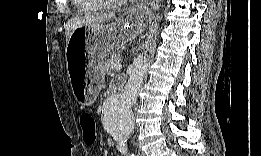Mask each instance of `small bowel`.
<instances>
[{
	"instance_id": "small-bowel-1",
	"label": "small bowel",
	"mask_w": 261,
	"mask_h": 156,
	"mask_svg": "<svg viewBox=\"0 0 261 156\" xmlns=\"http://www.w3.org/2000/svg\"><path fill=\"white\" fill-rule=\"evenodd\" d=\"M123 79L122 78H118V79H116V80H114L113 82H112V87H114V86H116V85H118V84H123Z\"/></svg>"
}]
</instances>
